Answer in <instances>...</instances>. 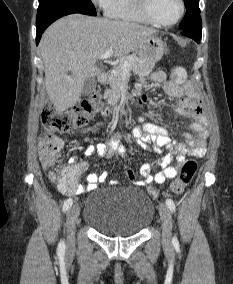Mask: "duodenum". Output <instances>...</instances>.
<instances>
[{
  "mask_svg": "<svg viewBox=\"0 0 233 284\" xmlns=\"http://www.w3.org/2000/svg\"><path fill=\"white\" fill-rule=\"evenodd\" d=\"M109 75L107 72H103L99 75V81L101 84L105 85L108 82ZM105 116H110L112 111L110 109H104L103 111Z\"/></svg>",
  "mask_w": 233,
  "mask_h": 284,
  "instance_id": "1",
  "label": "duodenum"
}]
</instances>
